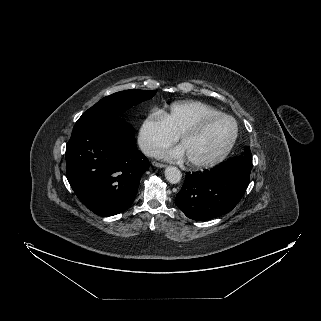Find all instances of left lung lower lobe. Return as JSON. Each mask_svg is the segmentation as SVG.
Instances as JSON below:
<instances>
[{
  "instance_id": "1",
  "label": "left lung lower lobe",
  "mask_w": 321,
  "mask_h": 321,
  "mask_svg": "<svg viewBox=\"0 0 321 321\" xmlns=\"http://www.w3.org/2000/svg\"><path fill=\"white\" fill-rule=\"evenodd\" d=\"M252 156L239 155L209 171L186 174L175 203L190 219L205 221L231 211L250 181Z\"/></svg>"
}]
</instances>
